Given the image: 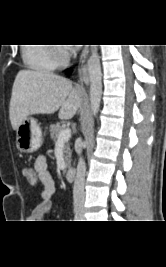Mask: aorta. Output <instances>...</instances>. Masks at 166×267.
Returning a JSON list of instances; mask_svg holds the SVG:
<instances>
[{"label": "aorta", "instance_id": "aorta-1", "mask_svg": "<svg viewBox=\"0 0 166 267\" xmlns=\"http://www.w3.org/2000/svg\"><path fill=\"white\" fill-rule=\"evenodd\" d=\"M88 73L90 77V103L92 114L96 116L99 111L102 95V73L98 54L94 51L88 60Z\"/></svg>", "mask_w": 166, "mask_h": 267}]
</instances>
